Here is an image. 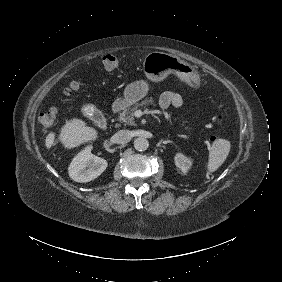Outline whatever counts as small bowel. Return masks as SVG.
I'll return each instance as SVG.
<instances>
[{
  "label": "small bowel",
  "instance_id": "c3829d8e",
  "mask_svg": "<svg viewBox=\"0 0 282 282\" xmlns=\"http://www.w3.org/2000/svg\"><path fill=\"white\" fill-rule=\"evenodd\" d=\"M183 105V98L179 93L166 91L162 93L159 99V106L162 110H166L168 107H181Z\"/></svg>",
  "mask_w": 282,
  "mask_h": 282
}]
</instances>
